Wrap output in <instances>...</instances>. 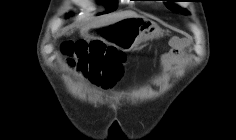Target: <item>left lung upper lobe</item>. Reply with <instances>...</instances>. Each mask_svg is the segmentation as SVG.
Segmentation results:
<instances>
[{"mask_svg": "<svg viewBox=\"0 0 236 140\" xmlns=\"http://www.w3.org/2000/svg\"><path fill=\"white\" fill-rule=\"evenodd\" d=\"M176 0H168L169 3L171 2H175ZM167 8H169L170 10L174 11V12H179L182 14H188V11H186L185 9H181L178 6L172 5V4H166Z\"/></svg>", "mask_w": 236, "mask_h": 140, "instance_id": "1", "label": "left lung upper lobe"}]
</instances>
